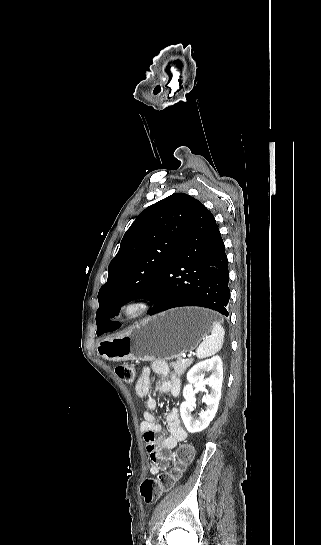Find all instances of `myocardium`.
Returning <instances> with one entry per match:
<instances>
[{"label": "myocardium", "instance_id": "myocardium-1", "mask_svg": "<svg viewBox=\"0 0 321 545\" xmlns=\"http://www.w3.org/2000/svg\"><path fill=\"white\" fill-rule=\"evenodd\" d=\"M151 307V301L144 297L126 300L120 307V314L126 320H136L145 315Z\"/></svg>", "mask_w": 321, "mask_h": 545}]
</instances>
